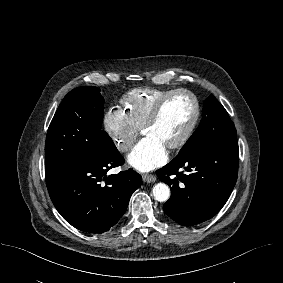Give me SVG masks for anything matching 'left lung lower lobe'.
<instances>
[{
	"label": "left lung lower lobe",
	"instance_id": "1",
	"mask_svg": "<svg viewBox=\"0 0 283 283\" xmlns=\"http://www.w3.org/2000/svg\"><path fill=\"white\" fill-rule=\"evenodd\" d=\"M236 137L196 145L179 153L156 171L171 187L165 213L177 223L192 226L204 222L224 206L237 180Z\"/></svg>",
	"mask_w": 283,
	"mask_h": 283
}]
</instances>
